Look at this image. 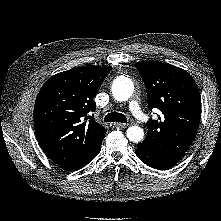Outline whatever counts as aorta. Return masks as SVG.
<instances>
[{"instance_id":"aorta-1","label":"aorta","mask_w":221,"mask_h":221,"mask_svg":"<svg viewBox=\"0 0 221 221\" xmlns=\"http://www.w3.org/2000/svg\"><path fill=\"white\" fill-rule=\"evenodd\" d=\"M134 85L129 78H119L112 85L113 97L118 101H126L133 94ZM144 137V131L139 126H131L127 130V138L135 143L140 142Z\"/></svg>"}]
</instances>
